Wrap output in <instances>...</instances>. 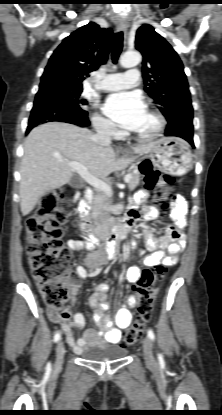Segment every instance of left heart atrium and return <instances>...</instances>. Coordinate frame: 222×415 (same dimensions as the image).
<instances>
[{"instance_id": "obj_1", "label": "left heart atrium", "mask_w": 222, "mask_h": 415, "mask_svg": "<svg viewBox=\"0 0 222 415\" xmlns=\"http://www.w3.org/2000/svg\"><path fill=\"white\" fill-rule=\"evenodd\" d=\"M145 111L142 97L137 92L111 94L105 100L103 112L121 127L132 129Z\"/></svg>"}]
</instances>
